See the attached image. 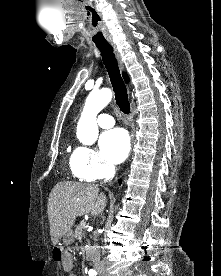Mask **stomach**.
I'll return each mask as SVG.
<instances>
[{"instance_id": "0dacf381", "label": "stomach", "mask_w": 221, "mask_h": 276, "mask_svg": "<svg viewBox=\"0 0 221 276\" xmlns=\"http://www.w3.org/2000/svg\"><path fill=\"white\" fill-rule=\"evenodd\" d=\"M62 241H63V243H64L65 245H70V244H72V243L74 242V233H73V231L71 230V231H69L67 234H65V235L63 236Z\"/></svg>"}]
</instances>
